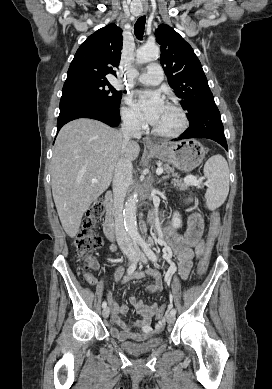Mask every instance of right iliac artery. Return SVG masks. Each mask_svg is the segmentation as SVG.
I'll list each match as a JSON object with an SVG mask.
<instances>
[{"label":"right iliac artery","instance_id":"1","mask_svg":"<svg viewBox=\"0 0 272 389\" xmlns=\"http://www.w3.org/2000/svg\"><path fill=\"white\" fill-rule=\"evenodd\" d=\"M134 244H135V248H136V257L127 270V276L124 278L125 280H129L131 275L134 273L135 269L137 268L138 252H137V244L136 243H134ZM106 306H107V303L104 301L102 303V307L105 308Z\"/></svg>","mask_w":272,"mask_h":389}]
</instances>
